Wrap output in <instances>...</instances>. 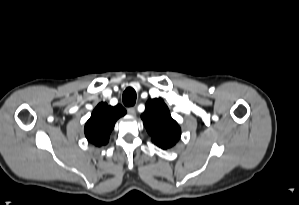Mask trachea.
Instances as JSON below:
<instances>
[{
  "mask_svg": "<svg viewBox=\"0 0 299 205\" xmlns=\"http://www.w3.org/2000/svg\"><path fill=\"white\" fill-rule=\"evenodd\" d=\"M122 100L125 106H133L136 102V91L131 87L127 88L123 93Z\"/></svg>",
  "mask_w": 299,
  "mask_h": 205,
  "instance_id": "1",
  "label": "trachea"
}]
</instances>
